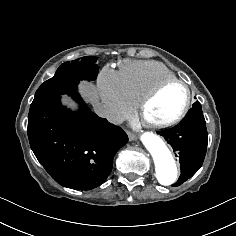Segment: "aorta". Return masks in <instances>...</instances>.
Masks as SVG:
<instances>
[{
    "instance_id": "1",
    "label": "aorta",
    "mask_w": 236,
    "mask_h": 236,
    "mask_svg": "<svg viewBox=\"0 0 236 236\" xmlns=\"http://www.w3.org/2000/svg\"><path fill=\"white\" fill-rule=\"evenodd\" d=\"M140 139L153 157L158 182L164 186L173 184L177 179L178 170L165 142L152 132L143 133Z\"/></svg>"
}]
</instances>
